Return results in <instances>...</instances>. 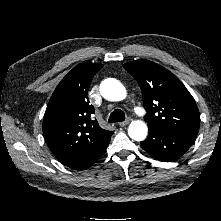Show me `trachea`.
<instances>
[{
	"label": "trachea",
	"mask_w": 221,
	"mask_h": 221,
	"mask_svg": "<svg viewBox=\"0 0 221 221\" xmlns=\"http://www.w3.org/2000/svg\"><path fill=\"white\" fill-rule=\"evenodd\" d=\"M125 120V113L121 109H115L109 116V123L122 122Z\"/></svg>",
	"instance_id": "3493384b"
}]
</instances>
